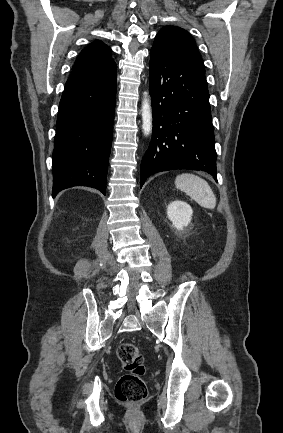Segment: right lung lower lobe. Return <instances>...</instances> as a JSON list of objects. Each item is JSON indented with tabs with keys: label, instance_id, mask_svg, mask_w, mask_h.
Instances as JSON below:
<instances>
[{
	"label": "right lung lower lobe",
	"instance_id": "1",
	"mask_svg": "<svg viewBox=\"0 0 283 433\" xmlns=\"http://www.w3.org/2000/svg\"><path fill=\"white\" fill-rule=\"evenodd\" d=\"M117 75L94 85L65 89L53 151V192L89 186L106 192L113 136Z\"/></svg>",
	"mask_w": 283,
	"mask_h": 433
}]
</instances>
